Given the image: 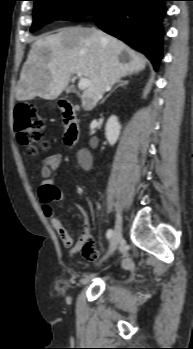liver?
Wrapping results in <instances>:
<instances>
[{"label": "liver", "mask_w": 193, "mask_h": 349, "mask_svg": "<svg viewBox=\"0 0 193 349\" xmlns=\"http://www.w3.org/2000/svg\"><path fill=\"white\" fill-rule=\"evenodd\" d=\"M122 53L130 56L129 62L120 61ZM146 61L125 43L100 30L65 27L32 44L22 67L16 99H56L68 86L71 75L81 73L91 81L81 96L82 106L92 110L114 83L144 70Z\"/></svg>", "instance_id": "1"}]
</instances>
